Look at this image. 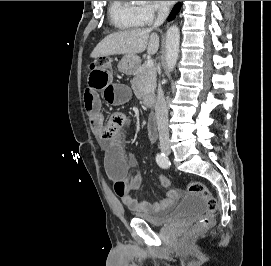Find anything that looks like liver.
<instances>
[{"label":"liver","mask_w":271,"mask_h":266,"mask_svg":"<svg viewBox=\"0 0 271 266\" xmlns=\"http://www.w3.org/2000/svg\"><path fill=\"white\" fill-rule=\"evenodd\" d=\"M159 48V36L150 34V29L137 28L106 36L91 53L92 58L125 54L136 55L147 49L153 55Z\"/></svg>","instance_id":"1"}]
</instances>
